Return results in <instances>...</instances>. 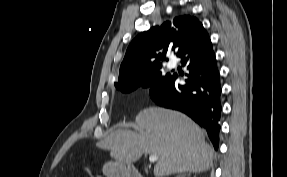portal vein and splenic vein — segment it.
<instances>
[{"label": "portal vein and splenic vein", "mask_w": 287, "mask_h": 177, "mask_svg": "<svg viewBox=\"0 0 287 177\" xmlns=\"http://www.w3.org/2000/svg\"><path fill=\"white\" fill-rule=\"evenodd\" d=\"M158 160V156L156 155V154H151L150 156H149V162L150 163H154V162H156Z\"/></svg>", "instance_id": "obj_1"}]
</instances>
